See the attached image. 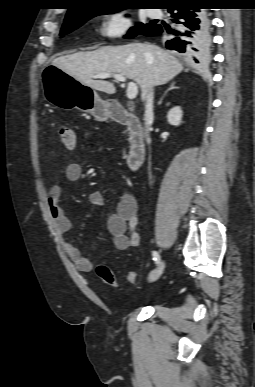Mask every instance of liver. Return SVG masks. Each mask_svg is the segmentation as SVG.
<instances>
[{
  "label": "liver",
  "instance_id": "1",
  "mask_svg": "<svg viewBox=\"0 0 255 387\" xmlns=\"http://www.w3.org/2000/svg\"><path fill=\"white\" fill-rule=\"evenodd\" d=\"M52 64L81 84L107 94L115 93L114 84L96 80L94 76L121 74L139 85L142 98L149 87L163 85L183 70L182 64L167 51L141 43L103 46L94 51L64 55Z\"/></svg>",
  "mask_w": 255,
  "mask_h": 387
}]
</instances>
